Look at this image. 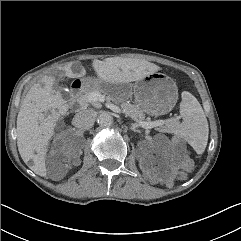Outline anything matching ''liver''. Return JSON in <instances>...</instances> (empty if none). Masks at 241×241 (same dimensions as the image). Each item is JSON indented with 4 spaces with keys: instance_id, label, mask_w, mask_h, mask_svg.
<instances>
[{
    "instance_id": "1",
    "label": "liver",
    "mask_w": 241,
    "mask_h": 241,
    "mask_svg": "<svg viewBox=\"0 0 241 241\" xmlns=\"http://www.w3.org/2000/svg\"><path fill=\"white\" fill-rule=\"evenodd\" d=\"M72 62L62 70L68 78L85 75L72 71ZM98 79L110 83H130L158 71V66L147 61L127 58H106L93 63ZM44 85L34 84L26 94L17 116V146L21 158L40 176H46L45 153L49 139L54 134L55 119L64 112V100L53 89L54 79L47 77ZM51 111L52 116L44 114ZM37 154H36V153Z\"/></svg>"
}]
</instances>
